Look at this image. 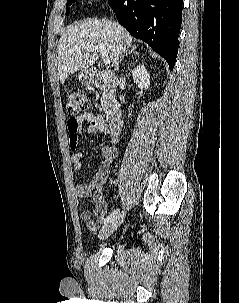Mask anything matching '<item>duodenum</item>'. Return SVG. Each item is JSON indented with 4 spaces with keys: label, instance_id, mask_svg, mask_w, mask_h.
Instances as JSON below:
<instances>
[{
    "label": "duodenum",
    "instance_id": "1",
    "mask_svg": "<svg viewBox=\"0 0 239 303\" xmlns=\"http://www.w3.org/2000/svg\"><path fill=\"white\" fill-rule=\"evenodd\" d=\"M88 80L98 89L105 90L107 94V126L112 135H118L123 128V116L119 103L114 98V92L118 87V78L113 72L91 70Z\"/></svg>",
    "mask_w": 239,
    "mask_h": 303
}]
</instances>
